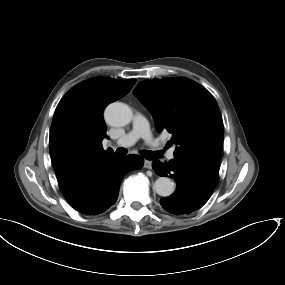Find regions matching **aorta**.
<instances>
[{"label": "aorta", "mask_w": 285, "mask_h": 285, "mask_svg": "<svg viewBox=\"0 0 285 285\" xmlns=\"http://www.w3.org/2000/svg\"><path fill=\"white\" fill-rule=\"evenodd\" d=\"M133 113L131 109L124 103L114 102L105 110L106 122L115 127H122L129 124L132 120ZM155 192L162 196H170L174 190V183L167 177H159L153 186Z\"/></svg>", "instance_id": "1"}]
</instances>
